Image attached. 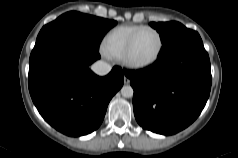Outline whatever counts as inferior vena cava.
<instances>
[{"instance_id": "obj_1", "label": "inferior vena cava", "mask_w": 238, "mask_h": 158, "mask_svg": "<svg viewBox=\"0 0 238 158\" xmlns=\"http://www.w3.org/2000/svg\"><path fill=\"white\" fill-rule=\"evenodd\" d=\"M91 69L97 75L104 76V75H107L111 71L112 67L110 64L104 61H97L96 63L92 65Z\"/></svg>"}]
</instances>
